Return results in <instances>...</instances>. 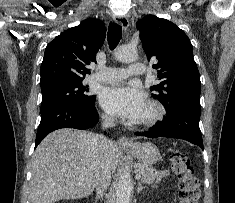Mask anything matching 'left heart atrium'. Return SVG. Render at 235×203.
Returning a JSON list of instances; mask_svg holds the SVG:
<instances>
[{
	"instance_id": "39dd6f15",
	"label": "left heart atrium",
	"mask_w": 235,
	"mask_h": 203,
	"mask_svg": "<svg viewBox=\"0 0 235 203\" xmlns=\"http://www.w3.org/2000/svg\"><path fill=\"white\" fill-rule=\"evenodd\" d=\"M100 102L109 114L130 121H137L146 108L143 93L137 87L129 85H117L104 89Z\"/></svg>"
}]
</instances>
